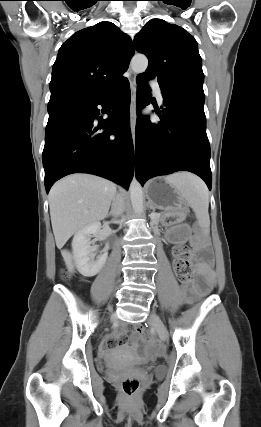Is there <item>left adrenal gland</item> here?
<instances>
[{"label": "left adrenal gland", "instance_id": "1", "mask_svg": "<svg viewBox=\"0 0 261 427\" xmlns=\"http://www.w3.org/2000/svg\"><path fill=\"white\" fill-rule=\"evenodd\" d=\"M150 209H153V207L151 205H149Z\"/></svg>", "mask_w": 261, "mask_h": 427}]
</instances>
